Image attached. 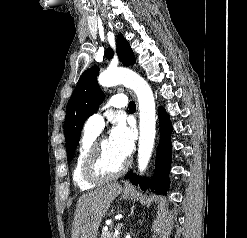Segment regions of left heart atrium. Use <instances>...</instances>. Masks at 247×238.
<instances>
[{
    "mask_svg": "<svg viewBox=\"0 0 247 238\" xmlns=\"http://www.w3.org/2000/svg\"><path fill=\"white\" fill-rule=\"evenodd\" d=\"M109 141L115 151L126 159L134 148L133 130L123 120H118L111 130Z\"/></svg>",
    "mask_w": 247,
    "mask_h": 238,
    "instance_id": "1",
    "label": "left heart atrium"
}]
</instances>
